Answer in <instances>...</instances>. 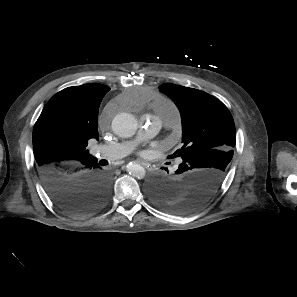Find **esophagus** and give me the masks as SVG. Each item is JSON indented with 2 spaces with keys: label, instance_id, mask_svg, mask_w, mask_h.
Wrapping results in <instances>:
<instances>
[{
  "label": "esophagus",
  "instance_id": "1",
  "mask_svg": "<svg viewBox=\"0 0 297 297\" xmlns=\"http://www.w3.org/2000/svg\"><path fill=\"white\" fill-rule=\"evenodd\" d=\"M139 164L143 165L144 167H149V164L143 161H138Z\"/></svg>",
  "mask_w": 297,
  "mask_h": 297
}]
</instances>
